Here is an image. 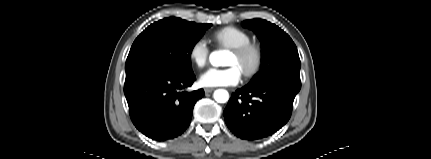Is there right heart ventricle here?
<instances>
[{"label": "right heart ventricle", "instance_id": "obj_1", "mask_svg": "<svg viewBox=\"0 0 431 159\" xmlns=\"http://www.w3.org/2000/svg\"><path fill=\"white\" fill-rule=\"evenodd\" d=\"M214 40L221 46L236 48L251 42V36L243 29L229 26L217 30L213 34Z\"/></svg>", "mask_w": 431, "mask_h": 159}]
</instances>
